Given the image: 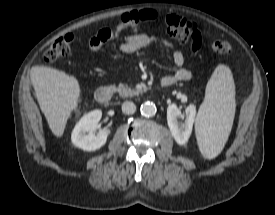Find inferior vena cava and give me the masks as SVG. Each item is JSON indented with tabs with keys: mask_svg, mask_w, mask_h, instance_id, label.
I'll use <instances>...</instances> for the list:
<instances>
[{
	"mask_svg": "<svg viewBox=\"0 0 275 215\" xmlns=\"http://www.w3.org/2000/svg\"><path fill=\"white\" fill-rule=\"evenodd\" d=\"M122 111L125 114H133L136 111V106L131 101H126L122 104Z\"/></svg>",
	"mask_w": 275,
	"mask_h": 215,
	"instance_id": "inferior-vena-cava-1",
	"label": "inferior vena cava"
}]
</instances>
